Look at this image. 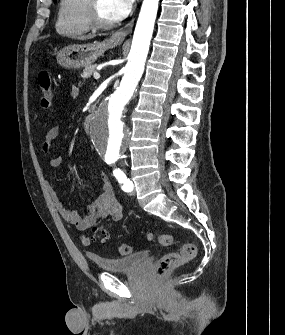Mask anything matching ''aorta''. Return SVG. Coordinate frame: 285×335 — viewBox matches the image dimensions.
I'll return each mask as SVG.
<instances>
[{
	"instance_id": "762f6f07",
	"label": "aorta",
	"mask_w": 285,
	"mask_h": 335,
	"mask_svg": "<svg viewBox=\"0 0 285 335\" xmlns=\"http://www.w3.org/2000/svg\"><path fill=\"white\" fill-rule=\"evenodd\" d=\"M159 0H144L137 20L128 62L118 90H111L107 100H101L94 112L87 134L94 137L93 147H99L98 156L103 160H119L128 150L131 130L123 125L121 114L127 102H132L135 88L144 72L150 40L157 16Z\"/></svg>"
}]
</instances>
